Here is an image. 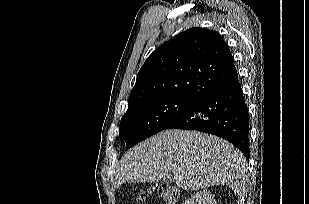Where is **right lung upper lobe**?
Wrapping results in <instances>:
<instances>
[{
	"mask_svg": "<svg viewBox=\"0 0 309 204\" xmlns=\"http://www.w3.org/2000/svg\"><path fill=\"white\" fill-rule=\"evenodd\" d=\"M238 77L222 36L193 27L160 45L141 67L129 105L162 96L201 98Z\"/></svg>",
	"mask_w": 309,
	"mask_h": 204,
	"instance_id": "cb5924a9",
	"label": "right lung upper lobe"
}]
</instances>
